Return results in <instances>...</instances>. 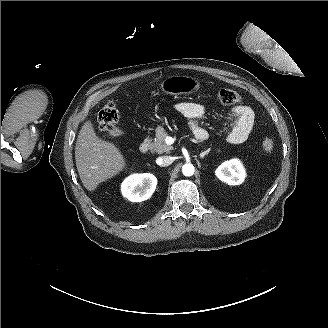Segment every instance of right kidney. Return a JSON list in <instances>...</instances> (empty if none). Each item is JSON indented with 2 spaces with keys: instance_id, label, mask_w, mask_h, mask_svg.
<instances>
[{
  "instance_id": "right-kidney-1",
  "label": "right kidney",
  "mask_w": 328,
  "mask_h": 328,
  "mask_svg": "<svg viewBox=\"0 0 328 328\" xmlns=\"http://www.w3.org/2000/svg\"><path fill=\"white\" fill-rule=\"evenodd\" d=\"M157 178L151 173H134L121 184L122 195L131 202L149 199L156 189Z\"/></svg>"
}]
</instances>
